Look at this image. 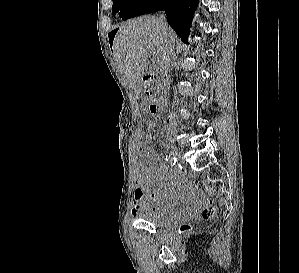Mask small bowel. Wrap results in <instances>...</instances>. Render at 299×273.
Instances as JSON below:
<instances>
[{"label":"small bowel","instance_id":"obj_1","mask_svg":"<svg viewBox=\"0 0 299 273\" xmlns=\"http://www.w3.org/2000/svg\"><path fill=\"white\" fill-rule=\"evenodd\" d=\"M147 132L138 134L136 141L141 154L148 158L156 159L157 153L145 144V140H152V132L155 130V123L147 121ZM160 182L158 186L149 189ZM136 189L132 203V214L136 216L142 210H150L157 213H169L177 202L186 205L179 212L187 217L195 216L199 211V201L185 189L182 179L172 172L163 163L138 164L135 178Z\"/></svg>","mask_w":299,"mask_h":273}]
</instances>
